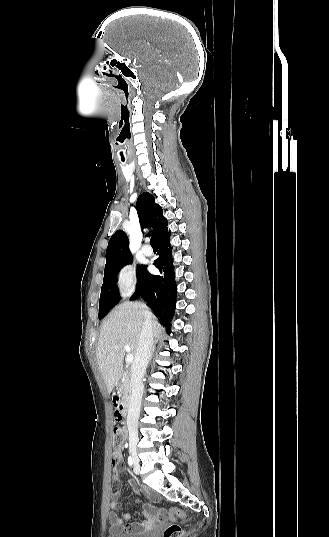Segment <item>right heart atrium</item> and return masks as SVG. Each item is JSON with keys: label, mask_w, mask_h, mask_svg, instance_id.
<instances>
[{"label": "right heart atrium", "mask_w": 329, "mask_h": 537, "mask_svg": "<svg viewBox=\"0 0 329 537\" xmlns=\"http://www.w3.org/2000/svg\"><path fill=\"white\" fill-rule=\"evenodd\" d=\"M115 281L120 293L123 296L131 294L137 285L134 265L131 263H126L121 266L116 273Z\"/></svg>", "instance_id": "1"}]
</instances>
